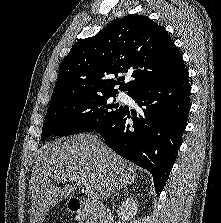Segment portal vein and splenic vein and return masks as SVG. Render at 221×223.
I'll use <instances>...</instances> for the list:
<instances>
[{
    "label": "portal vein and splenic vein",
    "instance_id": "portal-vein-and-splenic-vein-1",
    "mask_svg": "<svg viewBox=\"0 0 221 223\" xmlns=\"http://www.w3.org/2000/svg\"><path fill=\"white\" fill-rule=\"evenodd\" d=\"M69 180H74L81 188L82 191L86 194V196L88 197H92L94 195V190L92 187L87 186L83 183V181H81L79 178H77L76 176H70L68 178Z\"/></svg>",
    "mask_w": 221,
    "mask_h": 223
}]
</instances>
